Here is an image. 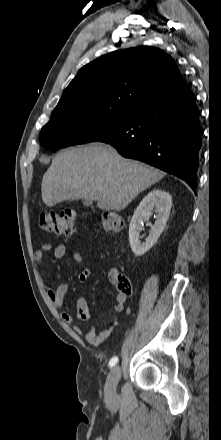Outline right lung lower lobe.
Masks as SVG:
<instances>
[{
	"label": "right lung lower lobe",
	"mask_w": 221,
	"mask_h": 440,
	"mask_svg": "<svg viewBox=\"0 0 221 440\" xmlns=\"http://www.w3.org/2000/svg\"><path fill=\"white\" fill-rule=\"evenodd\" d=\"M97 141L181 178L196 191L200 124L187 87L145 102Z\"/></svg>",
	"instance_id": "1"
}]
</instances>
